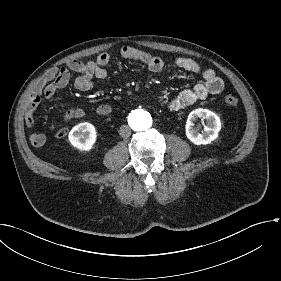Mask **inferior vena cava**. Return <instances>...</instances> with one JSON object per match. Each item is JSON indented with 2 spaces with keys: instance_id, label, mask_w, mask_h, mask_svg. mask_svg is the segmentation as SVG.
<instances>
[{
  "instance_id": "1",
  "label": "inferior vena cava",
  "mask_w": 281,
  "mask_h": 281,
  "mask_svg": "<svg viewBox=\"0 0 281 281\" xmlns=\"http://www.w3.org/2000/svg\"><path fill=\"white\" fill-rule=\"evenodd\" d=\"M119 134L122 138H128L131 135V129L128 125H122L119 130Z\"/></svg>"
}]
</instances>
